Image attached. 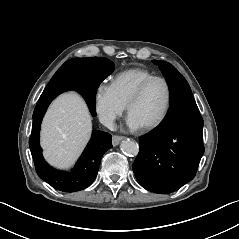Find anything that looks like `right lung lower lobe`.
Segmentation results:
<instances>
[{"instance_id": "1", "label": "right lung lower lobe", "mask_w": 239, "mask_h": 239, "mask_svg": "<svg viewBox=\"0 0 239 239\" xmlns=\"http://www.w3.org/2000/svg\"><path fill=\"white\" fill-rule=\"evenodd\" d=\"M61 70L64 74L63 78L68 84L55 92L40 96L33 113L29 146L38 176L57 190L75 192L87 188L94 181L103 154L112 148V136L103 131L93 130L91 140L75 168L70 172H63L52 168L42 156L39 144L41 121L51 101L67 90L80 92L85 98L91 114L95 116L97 89L100 83L113 72L114 67L101 65L94 58H79L77 61L61 67Z\"/></svg>"}]
</instances>
